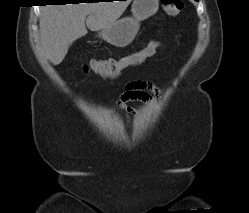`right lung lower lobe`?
I'll list each match as a JSON object with an SVG mask.
<instances>
[{
    "mask_svg": "<svg viewBox=\"0 0 249 213\" xmlns=\"http://www.w3.org/2000/svg\"><path fill=\"white\" fill-rule=\"evenodd\" d=\"M64 1H65V0H48L47 2H54V3H61V4H63V3H65ZM125 1H126V0H125ZM42 3H45V1L42 2Z\"/></svg>",
    "mask_w": 249,
    "mask_h": 213,
    "instance_id": "obj_1",
    "label": "right lung lower lobe"
}]
</instances>
